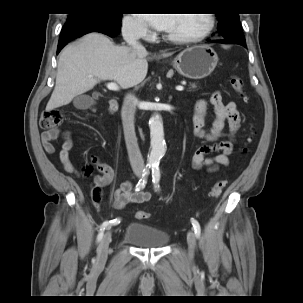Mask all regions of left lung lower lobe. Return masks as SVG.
<instances>
[{
    "label": "left lung lower lobe",
    "instance_id": "1",
    "mask_svg": "<svg viewBox=\"0 0 303 303\" xmlns=\"http://www.w3.org/2000/svg\"><path fill=\"white\" fill-rule=\"evenodd\" d=\"M221 43H224V44H240V45L246 47L245 41H236V42H233V41L224 40V41H221Z\"/></svg>",
    "mask_w": 303,
    "mask_h": 303
}]
</instances>
